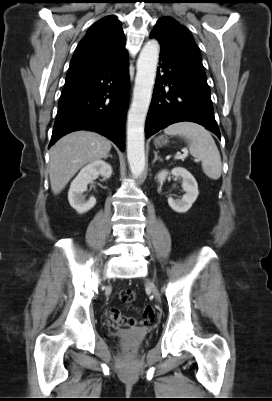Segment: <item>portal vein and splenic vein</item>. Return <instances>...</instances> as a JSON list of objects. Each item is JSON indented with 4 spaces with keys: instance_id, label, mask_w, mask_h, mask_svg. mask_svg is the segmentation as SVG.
I'll return each instance as SVG.
<instances>
[{
    "instance_id": "portal-vein-and-splenic-vein-1",
    "label": "portal vein and splenic vein",
    "mask_w": 272,
    "mask_h": 401,
    "mask_svg": "<svg viewBox=\"0 0 272 401\" xmlns=\"http://www.w3.org/2000/svg\"><path fill=\"white\" fill-rule=\"evenodd\" d=\"M186 156H187V153L184 152L183 154L178 155L176 158H177V159H183V158H185ZM199 161H200L199 159H195V162H199Z\"/></svg>"
}]
</instances>
